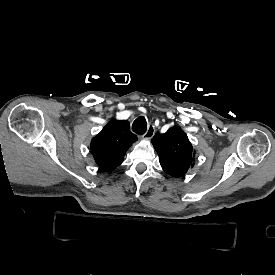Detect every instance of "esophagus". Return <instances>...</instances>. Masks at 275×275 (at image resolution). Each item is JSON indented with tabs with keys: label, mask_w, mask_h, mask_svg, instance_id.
I'll list each match as a JSON object with an SVG mask.
<instances>
[{
	"label": "esophagus",
	"mask_w": 275,
	"mask_h": 275,
	"mask_svg": "<svg viewBox=\"0 0 275 275\" xmlns=\"http://www.w3.org/2000/svg\"><path fill=\"white\" fill-rule=\"evenodd\" d=\"M155 128L154 125H149L146 133L143 135L144 139H151L154 136Z\"/></svg>",
	"instance_id": "1"
}]
</instances>
